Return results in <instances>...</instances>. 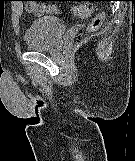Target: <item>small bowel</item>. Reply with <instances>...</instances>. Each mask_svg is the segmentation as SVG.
<instances>
[{
  "mask_svg": "<svg viewBox=\"0 0 135 161\" xmlns=\"http://www.w3.org/2000/svg\"><path fill=\"white\" fill-rule=\"evenodd\" d=\"M31 5H32L31 2H28L29 9H32L31 8ZM47 10L50 11V12H52V13H56L57 12L56 7H54V6L47 8ZM32 11L33 12H39V11H36V10H32Z\"/></svg>",
  "mask_w": 135,
  "mask_h": 161,
  "instance_id": "1",
  "label": "small bowel"
}]
</instances>
